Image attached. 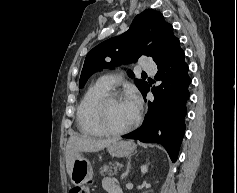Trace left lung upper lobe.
Listing matches in <instances>:
<instances>
[{
  "label": "left lung upper lobe",
  "mask_w": 237,
  "mask_h": 193,
  "mask_svg": "<svg viewBox=\"0 0 237 193\" xmlns=\"http://www.w3.org/2000/svg\"><path fill=\"white\" fill-rule=\"evenodd\" d=\"M147 40H153L154 45L147 46ZM176 40L173 27L160 12L145 10L135 17L127 32L100 43L87 54L79 87H83L90 75L102 67L133 62L142 55L151 56L157 63ZM106 58L111 61L106 62ZM130 76H134L131 71ZM134 82L141 93L148 85L144 80L135 79Z\"/></svg>",
  "instance_id": "left-lung-upper-lobe-1"
}]
</instances>
